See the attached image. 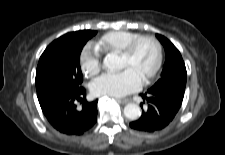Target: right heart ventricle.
Returning a JSON list of instances; mask_svg holds the SVG:
<instances>
[{
	"instance_id": "1",
	"label": "right heart ventricle",
	"mask_w": 225,
	"mask_h": 155,
	"mask_svg": "<svg viewBox=\"0 0 225 155\" xmlns=\"http://www.w3.org/2000/svg\"><path fill=\"white\" fill-rule=\"evenodd\" d=\"M137 36H139V34L133 31H110L102 35L95 42V48L100 53L121 52L126 45Z\"/></svg>"
}]
</instances>
